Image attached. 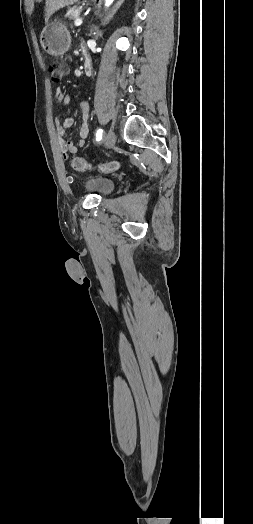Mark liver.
I'll return each instance as SVG.
<instances>
[{
	"instance_id": "liver-1",
	"label": "liver",
	"mask_w": 253,
	"mask_h": 524,
	"mask_svg": "<svg viewBox=\"0 0 253 524\" xmlns=\"http://www.w3.org/2000/svg\"><path fill=\"white\" fill-rule=\"evenodd\" d=\"M78 0H46L45 4V22L47 23L50 16L57 10L72 5Z\"/></svg>"
}]
</instances>
